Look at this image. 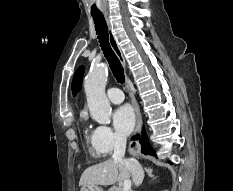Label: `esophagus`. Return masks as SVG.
I'll return each instance as SVG.
<instances>
[{
  "mask_svg": "<svg viewBox=\"0 0 233 191\" xmlns=\"http://www.w3.org/2000/svg\"><path fill=\"white\" fill-rule=\"evenodd\" d=\"M104 17H105V20H106V23H107V26H108V33H109L108 38H109L110 46H111L112 50L114 51V53L116 54V56L118 57V59H119L120 63L122 64V66L125 67V59H124L123 53L121 51V48H120V46H119V44L117 42V39H116V37L114 35L109 15L105 14ZM126 87H127L128 91H129V95L131 97L132 105L134 107L135 114H136V129H135V132L140 133L141 132V126H142V117H141V113H140V108H139V105L137 103V100H136L133 92L129 88L128 82H126ZM131 145L132 146H130V151H132V153L134 155H137L139 153V151H141V142H131Z\"/></svg>",
  "mask_w": 233,
  "mask_h": 191,
  "instance_id": "esophagus-1",
  "label": "esophagus"
}]
</instances>
